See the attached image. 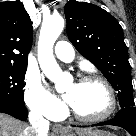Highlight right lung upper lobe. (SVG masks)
<instances>
[{
	"label": "right lung upper lobe",
	"instance_id": "1",
	"mask_svg": "<svg viewBox=\"0 0 136 136\" xmlns=\"http://www.w3.org/2000/svg\"><path fill=\"white\" fill-rule=\"evenodd\" d=\"M32 22L20 1L0 3V65H27Z\"/></svg>",
	"mask_w": 136,
	"mask_h": 136
}]
</instances>
